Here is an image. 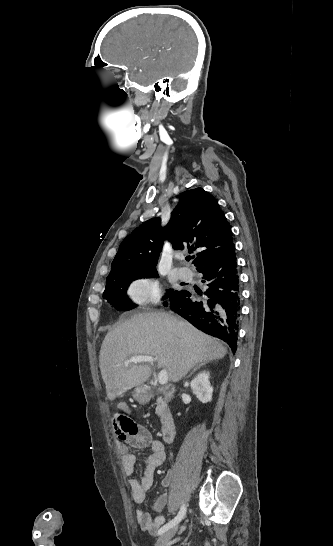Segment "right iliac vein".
I'll return each instance as SVG.
<instances>
[{"label":"right iliac vein","instance_id":"63e3f726","mask_svg":"<svg viewBox=\"0 0 333 546\" xmlns=\"http://www.w3.org/2000/svg\"><path fill=\"white\" fill-rule=\"evenodd\" d=\"M178 531H181L178 526L172 527L171 529L167 530L157 539L155 546H165Z\"/></svg>","mask_w":333,"mask_h":546}]
</instances>
